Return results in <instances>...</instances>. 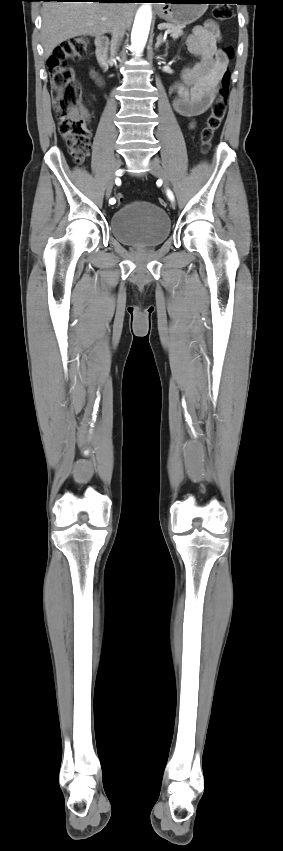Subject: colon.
Returning <instances> with one entry per match:
<instances>
[{
  "label": "colon",
  "instance_id": "obj_1",
  "mask_svg": "<svg viewBox=\"0 0 283 851\" xmlns=\"http://www.w3.org/2000/svg\"><path fill=\"white\" fill-rule=\"evenodd\" d=\"M213 15L219 22H224L232 18L233 11L227 5H220L214 8ZM88 45L86 37H73L62 42L47 61L55 114L59 121V133L68 145H73L71 155L76 163H81L90 150V132L85 113L81 107V95L74 78V70L68 62L83 58L87 53ZM224 53L227 57H232L233 49L225 47ZM229 84L230 75L225 73L206 126L201 133L203 151L209 149L211 141L225 117ZM117 201L118 203L123 202L121 195H118ZM159 204L165 206L166 202L160 198Z\"/></svg>",
  "mask_w": 283,
  "mask_h": 851
}]
</instances>
